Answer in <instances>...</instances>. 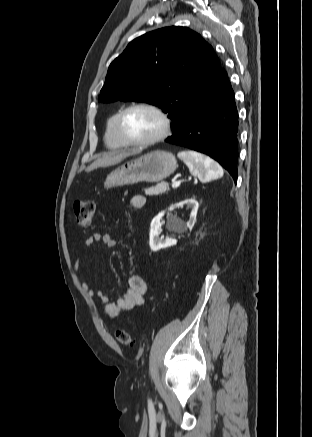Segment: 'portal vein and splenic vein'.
<instances>
[{"label":"portal vein and splenic vein","instance_id":"1","mask_svg":"<svg viewBox=\"0 0 312 437\" xmlns=\"http://www.w3.org/2000/svg\"><path fill=\"white\" fill-rule=\"evenodd\" d=\"M180 181H174V182H172V187L173 188H175V187H178L179 185H180Z\"/></svg>","mask_w":312,"mask_h":437}]
</instances>
